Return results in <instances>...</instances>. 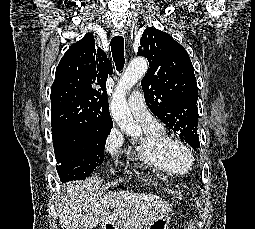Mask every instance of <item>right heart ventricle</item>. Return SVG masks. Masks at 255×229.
I'll return each instance as SVG.
<instances>
[{"mask_svg": "<svg viewBox=\"0 0 255 229\" xmlns=\"http://www.w3.org/2000/svg\"><path fill=\"white\" fill-rule=\"evenodd\" d=\"M141 127L144 136L134 148L136 160L170 175H183L190 170V166L173 162L160 150V144L169 138L161 124L156 127Z\"/></svg>", "mask_w": 255, "mask_h": 229, "instance_id": "obj_1", "label": "right heart ventricle"}]
</instances>
